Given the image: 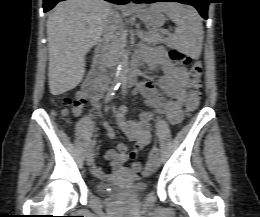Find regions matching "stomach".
<instances>
[{"label": "stomach", "instance_id": "obj_1", "mask_svg": "<svg viewBox=\"0 0 260 217\" xmlns=\"http://www.w3.org/2000/svg\"><path fill=\"white\" fill-rule=\"evenodd\" d=\"M138 17L149 27L159 28L164 24L165 18L160 11L151 7H140L137 9Z\"/></svg>", "mask_w": 260, "mask_h": 217}]
</instances>
